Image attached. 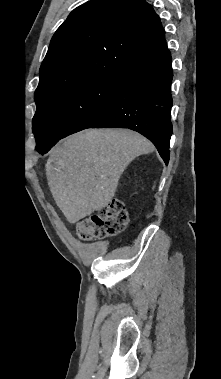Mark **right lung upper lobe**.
<instances>
[{
    "label": "right lung upper lobe",
    "mask_w": 221,
    "mask_h": 379,
    "mask_svg": "<svg viewBox=\"0 0 221 379\" xmlns=\"http://www.w3.org/2000/svg\"><path fill=\"white\" fill-rule=\"evenodd\" d=\"M167 49L145 0H90L57 29L40 68L35 99L101 74H121Z\"/></svg>",
    "instance_id": "obj_1"
}]
</instances>
